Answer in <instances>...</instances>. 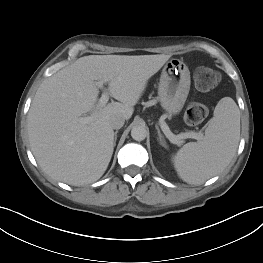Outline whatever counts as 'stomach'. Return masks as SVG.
Here are the masks:
<instances>
[{"label": "stomach", "mask_w": 263, "mask_h": 263, "mask_svg": "<svg viewBox=\"0 0 263 263\" xmlns=\"http://www.w3.org/2000/svg\"><path fill=\"white\" fill-rule=\"evenodd\" d=\"M190 84V71L183 61L171 59L165 64L160 77L158 98L169 115H176L182 110Z\"/></svg>", "instance_id": "stomach-1"}]
</instances>
